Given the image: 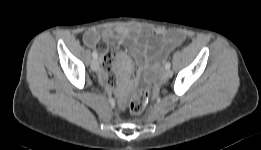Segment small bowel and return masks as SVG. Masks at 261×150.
Segmentation results:
<instances>
[{
  "label": "small bowel",
  "mask_w": 261,
  "mask_h": 150,
  "mask_svg": "<svg viewBox=\"0 0 261 150\" xmlns=\"http://www.w3.org/2000/svg\"><path fill=\"white\" fill-rule=\"evenodd\" d=\"M184 39L185 35L177 30L142 26L90 29L83 35L87 46L97 47L98 51L103 54V66L110 85H115L117 79L112 72V55L108 51L109 44L121 42L129 47L133 59L131 74L134 81L137 79L139 71L143 69L146 71L147 80L154 82L158 75L159 60L164 59ZM101 77H105L104 71L101 72Z\"/></svg>",
  "instance_id": "obj_1"
}]
</instances>
